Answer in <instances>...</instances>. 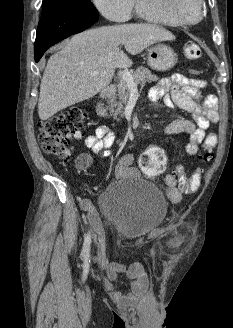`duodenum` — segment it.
Segmentation results:
<instances>
[{
  "label": "duodenum",
  "mask_w": 233,
  "mask_h": 328,
  "mask_svg": "<svg viewBox=\"0 0 233 328\" xmlns=\"http://www.w3.org/2000/svg\"><path fill=\"white\" fill-rule=\"evenodd\" d=\"M115 89H116L115 85H109L102 89V91L100 93V98H99V101H98L97 107H96L97 115H99L100 117L106 116V109H105L104 103L109 98L112 97V95L115 92Z\"/></svg>",
  "instance_id": "obj_1"
}]
</instances>
